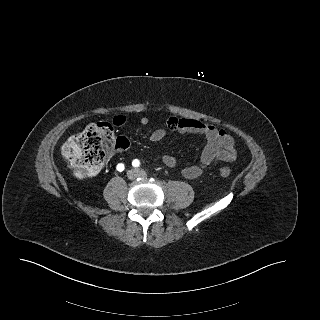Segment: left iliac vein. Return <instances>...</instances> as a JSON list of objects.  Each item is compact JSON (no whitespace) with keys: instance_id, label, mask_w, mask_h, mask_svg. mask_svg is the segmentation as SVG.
<instances>
[{"instance_id":"obj_1","label":"left iliac vein","mask_w":320,"mask_h":320,"mask_svg":"<svg viewBox=\"0 0 320 320\" xmlns=\"http://www.w3.org/2000/svg\"><path fill=\"white\" fill-rule=\"evenodd\" d=\"M136 173L140 177H145L146 176V172L144 170H142V169L136 170Z\"/></svg>"}]
</instances>
